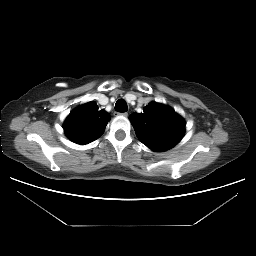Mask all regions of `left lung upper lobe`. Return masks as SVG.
<instances>
[{
    "mask_svg": "<svg viewBox=\"0 0 256 256\" xmlns=\"http://www.w3.org/2000/svg\"><path fill=\"white\" fill-rule=\"evenodd\" d=\"M138 139L148 148L161 152L174 147L185 131V121L171 107L151 102L143 113L129 117Z\"/></svg>",
    "mask_w": 256,
    "mask_h": 256,
    "instance_id": "left-lung-upper-lobe-1",
    "label": "left lung upper lobe"
}]
</instances>
